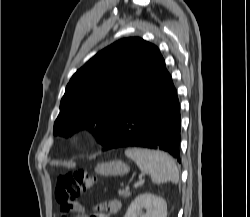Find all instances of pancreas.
I'll use <instances>...</instances> for the list:
<instances>
[{
    "label": "pancreas",
    "mask_w": 250,
    "mask_h": 217,
    "mask_svg": "<svg viewBox=\"0 0 250 217\" xmlns=\"http://www.w3.org/2000/svg\"><path fill=\"white\" fill-rule=\"evenodd\" d=\"M118 193L122 197H129L131 195L130 191L128 189H126V190H119Z\"/></svg>",
    "instance_id": "obj_1"
}]
</instances>
